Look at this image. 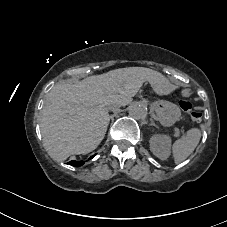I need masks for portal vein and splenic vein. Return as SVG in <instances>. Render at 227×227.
<instances>
[{
	"label": "portal vein and splenic vein",
	"mask_w": 227,
	"mask_h": 227,
	"mask_svg": "<svg viewBox=\"0 0 227 227\" xmlns=\"http://www.w3.org/2000/svg\"><path fill=\"white\" fill-rule=\"evenodd\" d=\"M175 130L177 129L176 127L174 128ZM183 131L181 130V129H177L176 131H175V135H174V137L176 138L179 134H181Z\"/></svg>",
	"instance_id": "portal-vein-and-splenic-vein-1"
}]
</instances>
